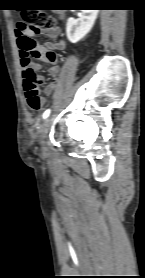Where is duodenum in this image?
Wrapping results in <instances>:
<instances>
[{"mask_svg":"<svg viewBox=\"0 0 145 278\" xmlns=\"http://www.w3.org/2000/svg\"><path fill=\"white\" fill-rule=\"evenodd\" d=\"M54 89H55V88H53L52 90L46 91L45 94H46L47 96H50V95L53 93Z\"/></svg>","mask_w":145,"mask_h":278,"instance_id":"duodenum-1","label":"duodenum"}]
</instances>
